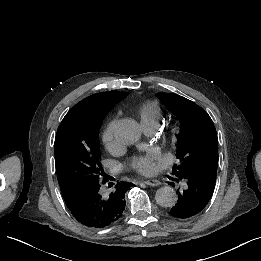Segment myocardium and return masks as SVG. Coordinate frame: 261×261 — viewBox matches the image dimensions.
Segmentation results:
<instances>
[{"instance_id":"myocardium-1","label":"myocardium","mask_w":261,"mask_h":261,"mask_svg":"<svg viewBox=\"0 0 261 261\" xmlns=\"http://www.w3.org/2000/svg\"><path fill=\"white\" fill-rule=\"evenodd\" d=\"M184 126L181 122H172L168 125L163 139L164 142L170 147H177L183 140Z\"/></svg>"}]
</instances>
